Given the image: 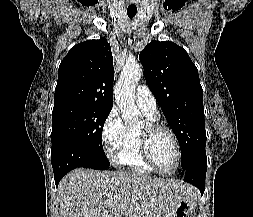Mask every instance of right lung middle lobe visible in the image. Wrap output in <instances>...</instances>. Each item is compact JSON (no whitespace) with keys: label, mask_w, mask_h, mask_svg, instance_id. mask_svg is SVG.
<instances>
[{"label":"right lung middle lobe","mask_w":253,"mask_h":217,"mask_svg":"<svg viewBox=\"0 0 253 217\" xmlns=\"http://www.w3.org/2000/svg\"><path fill=\"white\" fill-rule=\"evenodd\" d=\"M112 107L66 102L54 105L52 151L67 145L88 150L100 164L109 167L102 146V129Z\"/></svg>","instance_id":"dd1d6c3e"}]
</instances>
